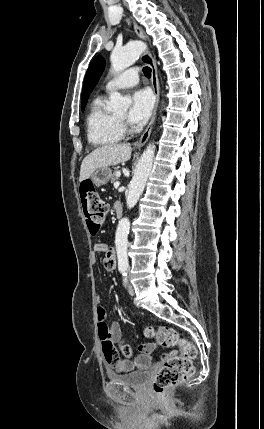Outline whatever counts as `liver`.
Masks as SVG:
<instances>
[{
    "label": "liver",
    "instance_id": "obj_1",
    "mask_svg": "<svg viewBox=\"0 0 264 429\" xmlns=\"http://www.w3.org/2000/svg\"><path fill=\"white\" fill-rule=\"evenodd\" d=\"M131 158L129 144H109L98 147L82 161L79 181L88 179L97 169L117 165Z\"/></svg>",
    "mask_w": 264,
    "mask_h": 429
}]
</instances>
